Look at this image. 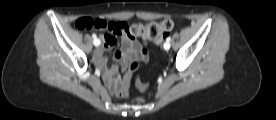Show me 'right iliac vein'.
<instances>
[{
	"label": "right iliac vein",
	"instance_id": "1",
	"mask_svg": "<svg viewBox=\"0 0 276 120\" xmlns=\"http://www.w3.org/2000/svg\"><path fill=\"white\" fill-rule=\"evenodd\" d=\"M99 42V40L98 39H96L95 40V43H98ZM96 47H98L99 45H95Z\"/></svg>",
	"mask_w": 276,
	"mask_h": 120
}]
</instances>
